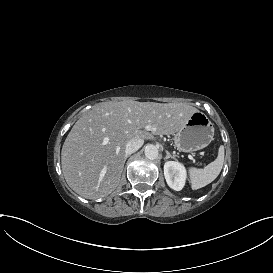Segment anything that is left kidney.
<instances>
[{"label": "left kidney", "mask_w": 273, "mask_h": 273, "mask_svg": "<svg viewBox=\"0 0 273 273\" xmlns=\"http://www.w3.org/2000/svg\"><path fill=\"white\" fill-rule=\"evenodd\" d=\"M164 175L167 184L175 191L184 189L187 181V169L179 161H167L164 164Z\"/></svg>", "instance_id": "obj_1"}]
</instances>
